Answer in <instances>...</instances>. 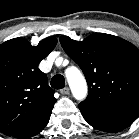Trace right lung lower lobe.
<instances>
[{
	"instance_id": "obj_1",
	"label": "right lung lower lobe",
	"mask_w": 139,
	"mask_h": 139,
	"mask_svg": "<svg viewBox=\"0 0 139 139\" xmlns=\"http://www.w3.org/2000/svg\"><path fill=\"white\" fill-rule=\"evenodd\" d=\"M50 115H51V113L46 115L43 119L38 121L36 124L28 127L27 129H25L21 132L14 134L13 137H16L19 139H26V138L32 137V136L40 133L44 129V127L47 125Z\"/></svg>"
}]
</instances>
